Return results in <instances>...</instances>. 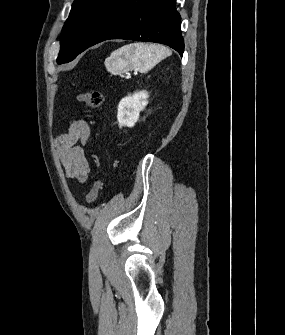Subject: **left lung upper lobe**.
Returning <instances> with one entry per match:
<instances>
[{
  "instance_id": "left-lung-upper-lobe-1",
  "label": "left lung upper lobe",
  "mask_w": 285,
  "mask_h": 335,
  "mask_svg": "<svg viewBox=\"0 0 285 335\" xmlns=\"http://www.w3.org/2000/svg\"><path fill=\"white\" fill-rule=\"evenodd\" d=\"M111 0H74L69 17L62 29L61 48L57 63L72 61L80 53V46L90 26Z\"/></svg>"
}]
</instances>
